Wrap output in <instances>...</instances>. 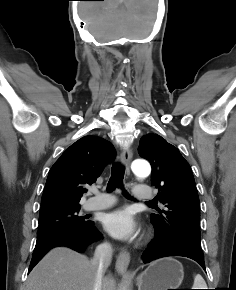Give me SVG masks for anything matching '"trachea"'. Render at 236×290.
<instances>
[{"label": "trachea", "instance_id": "1", "mask_svg": "<svg viewBox=\"0 0 236 290\" xmlns=\"http://www.w3.org/2000/svg\"><path fill=\"white\" fill-rule=\"evenodd\" d=\"M124 172L125 168L121 164L116 163L112 166L111 177L107 185V190L109 192L115 190L116 188H123ZM122 193L125 197L131 198L124 189Z\"/></svg>", "mask_w": 236, "mask_h": 290}]
</instances>
